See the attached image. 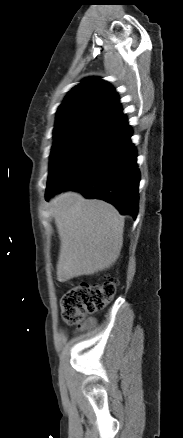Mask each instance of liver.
<instances>
[{
  "instance_id": "liver-1",
  "label": "liver",
  "mask_w": 183,
  "mask_h": 438,
  "mask_svg": "<svg viewBox=\"0 0 183 438\" xmlns=\"http://www.w3.org/2000/svg\"><path fill=\"white\" fill-rule=\"evenodd\" d=\"M61 241L57 280L109 269L123 245L124 219L109 203L65 192L51 200Z\"/></svg>"
}]
</instances>
